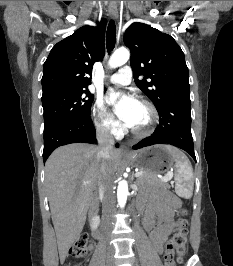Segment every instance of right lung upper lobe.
<instances>
[{
  "label": "right lung upper lobe",
  "instance_id": "right-lung-upper-lobe-1",
  "mask_svg": "<svg viewBox=\"0 0 233 266\" xmlns=\"http://www.w3.org/2000/svg\"><path fill=\"white\" fill-rule=\"evenodd\" d=\"M105 26L102 19L98 27H81L52 48L43 68V95L87 88L93 64L105 54Z\"/></svg>",
  "mask_w": 233,
  "mask_h": 266
}]
</instances>
